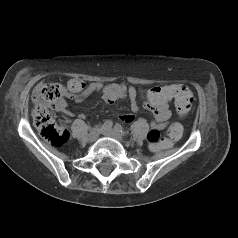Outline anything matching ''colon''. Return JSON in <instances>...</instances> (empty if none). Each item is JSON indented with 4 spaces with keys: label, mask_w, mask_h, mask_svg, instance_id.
<instances>
[{
    "label": "colon",
    "mask_w": 238,
    "mask_h": 238,
    "mask_svg": "<svg viewBox=\"0 0 238 238\" xmlns=\"http://www.w3.org/2000/svg\"><path fill=\"white\" fill-rule=\"evenodd\" d=\"M66 91L57 82L39 83L32 95L34 108L32 118L34 125L39 130L41 136L55 146H62L69 138L67 130L55 123L51 115V108L56 107L64 98ZM166 95L175 99L176 108L179 113L186 114L192 106L193 96L185 85H175ZM182 133V127L178 123H173L167 129V138L161 139V130L152 128L147 139L152 144V150L170 147L174 141L178 140Z\"/></svg>",
    "instance_id": "obj_1"
}]
</instances>
